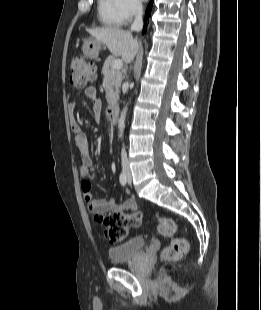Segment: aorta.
I'll list each match as a JSON object with an SVG mask.
<instances>
[{
    "mask_svg": "<svg viewBox=\"0 0 261 310\" xmlns=\"http://www.w3.org/2000/svg\"><path fill=\"white\" fill-rule=\"evenodd\" d=\"M126 113H127V106L121 112V115H120V118L118 121V136H119V138H121L123 136V131L125 128Z\"/></svg>",
    "mask_w": 261,
    "mask_h": 310,
    "instance_id": "762f6f07",
    "label": "aorta"
}]
</instances>
